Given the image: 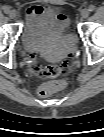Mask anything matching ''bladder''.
Masks as SVG:
<instances>
[{
	"instance_id": "1",
	"label": "bladder",
	"mask_w": 104,
	"mask_h": 137,
	"mask_svg": "<svg viewBox=\"0 0 104 137\" xmlns=\"http://www.w3.org/2000/svg\"><path fill=\"white\" fill-rule=\"evenodd\" d=\"M56 11L57 14L52 19H47L46 26L36 32L22 31V41L34 52L46 59H60L77 45L76 37L70 32L68 20L64 22L59 16V11L48 10V14Z\"/></svg>"
}]
</instances>
